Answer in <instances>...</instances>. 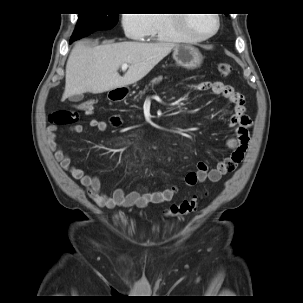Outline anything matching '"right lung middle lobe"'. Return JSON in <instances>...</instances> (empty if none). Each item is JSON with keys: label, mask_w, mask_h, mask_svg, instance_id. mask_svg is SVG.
I'll return each mask as SVG.
<instances>
[{"label": "right lung middle lobe", "mask_w": 303, "mask_h": 303, "mask_svg": "<svg viewBox=\"0 0 303 303\" xmlns=\"http://www.w3.org/2000/svg\"><path fill=\"white\" fill-rule=\"evenodd\" d=\"M118 13L79 14L76 28L71 39H80L98 30H108L118 21Z\"/></svg>", "instance_id": "dd1d6c3e"}]
</instances>
